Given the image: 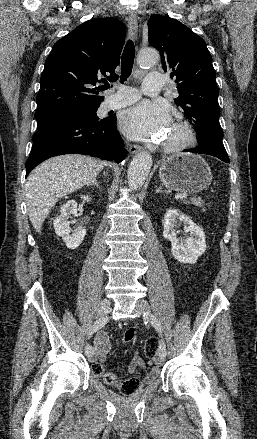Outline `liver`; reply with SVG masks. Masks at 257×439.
Listing matches in <instances>:
<instances>
[{
	"label": "liver",
	"mask_w": 257,
	"mask_h": 439,
	"mask_svg": "<svg viewBox=\"0 0 257 439\" xmlns=\"http://www.w3.org/2000/svg\"><path fill=\"white\" fill-rule=\"evenodd\" d=\"M103 161L78 155L48 159L29 175L25 187L29 219L40 233L45 218L62 197L94 182Z\"/></svg>",
	"instance_id": "1"
}]
</instances>
